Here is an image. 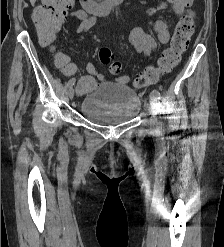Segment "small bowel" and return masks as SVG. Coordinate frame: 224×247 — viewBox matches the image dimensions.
Masks as SVG:
<instances>
[{
  "instance_id": "1",
  "label": "small bowel",
  "mask_w": 224,
  "mask_h": 247,
  "mask_svg": "<svg viewBox=\"0 0 224 247\" xmlns=\"http://www.w3.org/2000/svg\"><path fill=\"white\" fill-rule=\"evenodd\" d=\"M193 0H166L156 8L147 11L148 14H152L160 9L165 8L167 5H171L173 13L177 16L182 15L192 4ZM72 17L81 21L77 28L78 33L87 32L94 24L95 18L88 15L83 10H77L70 14ZM154 30L157 33L158 41L165 44L170 39V30L168 25L163 20H156L154 23ZM130 44L142 55L150 54L157 46L156 39L150 34L146 33L141 26L134 27L129 35ZM130 78L127 75H123L117 79L120 84H127ZM139 88V87H137Z\"/></svg>"
}]
</instances>
